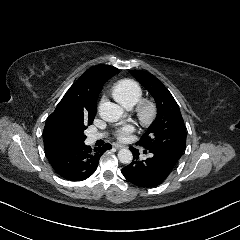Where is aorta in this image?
Returning a JSON list of instances; mask_svg holds the SVG:
<instances>
[{
	"mask_svg": "<svg viewBox=\"0 0 240 240\" xmlns=\"http://www.w3.org/2000/svg\"><path fill=\"white\" fill-rule=\"evenodd\" d=\"M100 117L107 122H117L123 115L124 110L118 104L112 102L101 103L98 107ZM118 159L123 164H130L133 159L132 152L129 149H120Z\"/></svg>",
	"mask_w": 240,
	"mask_h": 240,
	"instance_id": "aorta-1",
	"label": "aorta"
}]
</instances>
